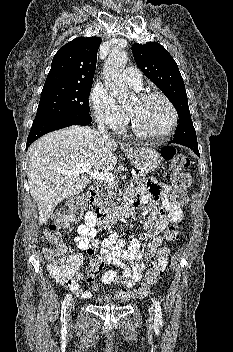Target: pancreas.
Listing matches in <instances>:
<instances>
[{"mask_svg":"<svg viewBox=\"0 0 233 352\" xmlns=\"http://www.w3.org/2000/svg\"><path fill=\"white\" fill-rule=\"evenodd\" d=\"M146 180V175L145 174H138L133 176L132 181L135 183H142ZM116 188L114 184H108V186L105 188L103 192L99 195L98 202L99 205H108L112 202L114 199V194H115Z\"/></svg>","mask_w":233,"mask_h":352,"instance_id":"1","label":"pancreas"}]
</instances>
